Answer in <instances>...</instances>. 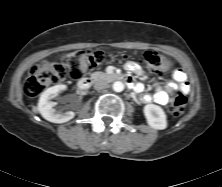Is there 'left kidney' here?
I'll return each mask as SVG.
<instances>
[{"mask_svg":"<svg viewBox=\"0 0 222 187\" xmlns=\"http://www.w3.org/2000/svg\"><path fill=\"white\" fill-rule=\"evenodd\" d=\"M144 115L148 125L157 130H163L167 127V119L164 110L155 104H147L144 106Z\"/></svg>","mask_w":222,"mask_h":187,"instance_id":"obj_1","label":"left kidney"}]
</instances>
